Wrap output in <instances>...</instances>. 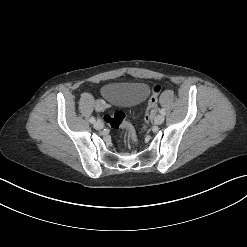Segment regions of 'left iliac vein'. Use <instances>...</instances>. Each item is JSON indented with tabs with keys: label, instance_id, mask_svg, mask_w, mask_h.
<instances>
[{
	"label": "left iliac vein",
	"instance_id": "obj_1",
	"mask_svg": "<svg viewBox=\"0 0 247 247\" xmlns=\"http://www.w3.org/2000/svg\"><path fill=\"white\" fill-rule=\"evenodd\" d=\"M164 122V115L159 114L154 118V123L160 125Z\"/></svg>",
	"mask_w": 247,
	"mask_h": 247
}]
</instances>
